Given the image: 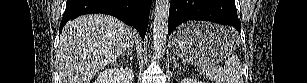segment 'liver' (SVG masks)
<instances>
[{
    "label": "liver",
    "instance_id": "6515ba94",
    "mask_svg": "<svg viewBox=\"0 0 307 83\" xmlns=\"http://www.w3.org/2000/svg\"><path fill=\"white\" fill-rule=\"evenodd\" d=\"M132 46L133 29L112 16L83 15L69 21L57 51L59 83H90Z\"/></svg>",
    "mask_w": 307,
    "mask_h": 83
}]
</instances>
